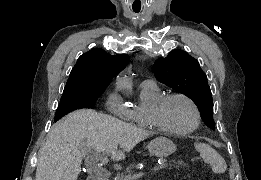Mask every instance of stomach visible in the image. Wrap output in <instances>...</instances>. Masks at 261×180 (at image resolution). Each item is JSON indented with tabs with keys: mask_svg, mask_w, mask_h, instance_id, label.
<instances>
[{
	"mask_svg": "<svg viewBox=\"0 0 261 180\" xmlns=\"http://www.w3.org/2000/svg\"><path fill=\"white\" fill-rule=\"evenodd\" d=\"M148 150L151 155L165 158L176 151V146L166 137H157L149 142Z\"/></svg>",
	"mask_w": 261,
	"mask_h": 180,
	"instance_id": "stomach-1",
	"label": "stomach"
}]
</instances>
